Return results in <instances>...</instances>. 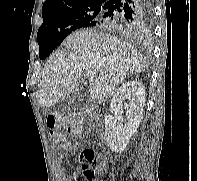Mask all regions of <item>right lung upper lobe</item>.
Instances as JSON below:
<instances>
[{"label": "right lung upper lobe", "instance_id": "obj_1", "mask_svg": "<svg viewBox=\"0 0 197 181\" xmlns=\"http://www.w3.org/2000/svg\"><path fill=\"white\" fill-rule=\"evenodd\" d=\"M108 0H47L42 7V17L57 15L83 6L104 5Z\"/></svg>", "mask_w": 197, "mask_h": 181}]
</instances>
